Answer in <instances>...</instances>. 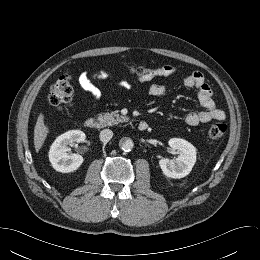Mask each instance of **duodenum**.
<instances>
[{
  "label": "duodenum",
  "mask_w": 260,
  "mask_h": 260,
  "mask_svg": "<svg viewBox=\"0 0 260 260\" xmlns=\"http://www.w3.org/2000/svg\"><path fill=\"white\" fill-rule=\"evenodd\" d=\"M85 125L86 127L90 128V129H102L106 126V123L103 121V120H100L98 118H94V117H91V118H88L86 121H85ZM148 123L146 121H141L138 123V129L140 131H145L147 130L148 128Z\"/></svg>",
  "instance_id": "obj_1"
}]
</instances>
